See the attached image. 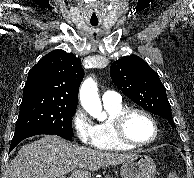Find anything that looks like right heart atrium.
I'll list each match as a JSON object with an SVG mask.
<instances>
[{
	"instance_id": "1",
	"label": "right heart atrium",
	"mask_w": 194,
	"mask_h": 178,
	"mask_svg": "<svg viewBox=\"0 0 194 178\" xmlns=\"http://www.w3.org/2000/svg\"><path fill=\"white\" fill-rule=\"evenodd\" d=\"M71 125L78 141L83 146H94L95 125L82 108H77L71 118Z\"/></svg>"
}]
</instances>
